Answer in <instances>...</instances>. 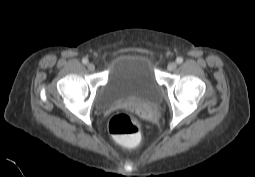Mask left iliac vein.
Here are the masks:
<instances>
[{"instance_id":"obj_1","label":"left iliac vein","mask_w":255,"mask_h":177,"mask_svg":"<svg viewBox=\"0 0 255 177\" xmlns=\"http://www.w3.org/2000/svg\"><path fill=\"white\" fill-rule=\"evenodd\" d=\"M176 67H177V64H176L175 62H170V63L168 64V66H167V68H168L169 71L175 70Z\"/></svg>"}]
</instances>
